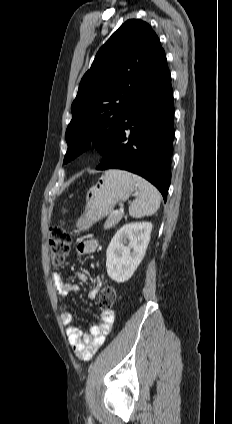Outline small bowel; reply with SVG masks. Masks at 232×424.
<instances>
[{
    "mask_svg": "<svg viewBox=\"0 0 232 424\" xmlns=\"http://www.w3.org/2000/svg\"><path fill=\"white\" fill-rule=\"evenodd\" d=\"M99 242L96 238H87L79 242L76 246V253L79 256L94 253L98 248ZM75 278L86 283L89 277L84 272H76ZM52 283L57 295L61 298H67L71 293L78 292L79 287L72 284L62 274L54 273ZM103 282L101 278L95 279L94 286L89 290L88 297L95 299L101 289ZM74 313L63 307L60 310V318L65 325L68 342L75 355L83 360H90L97 350L104 344L107 334L111 331L114 324V312L112 310L103 311L100 319L94 323L89 333H83L79 328L73 325Z\"/></svg>",
    "mask_w": 232,
    "mask_h": 424,
    "instance_id": "1",
    "label": "small bowel"
}]
</instances>
